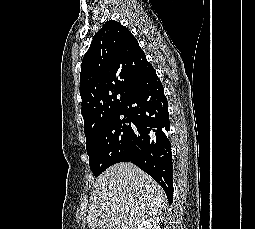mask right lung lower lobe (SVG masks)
I'll list each match as a JSON object with an SVG mask.
<instances>
[{
	"label": "right lung lower lobe",
	"instance_id": "obj_1",
	"mask_svg": "<svg viewBox=\"0 0 255 229\" xmlns=\"http://www.w3.org/2000/svg\"><path fill=\"white\" fill-rule=\"evenodd\" d=\"M123 114L133 123L132 162L154 178L173 201L171 143L168 139L169 113L163 86L152 67L136 81Z\"/></svg>",
	"mask_w": 255,
	"mask_h": 229
}]
</instances>
